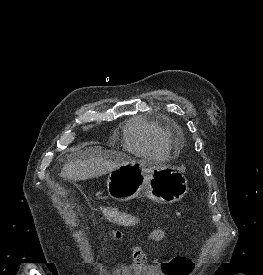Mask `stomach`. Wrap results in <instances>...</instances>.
Instances as JSON below:
<instances>
[{
	"instance_id": "0dacf381",
	"label": "stomach",
	"mask_w": 263,
	"mask_h": 275,
	"mask_svg": "<svg viewBox=\"0 0 263 275\" xmlns=\"http://www.w3.org/2000/svg\"><path fill=\"white\" fill-rule=\"evenodd\" d=\"M107 191L117 201L132 200L143 194L157 203L169 204L183 198L188 184L182 173L169 167L129 159L110 172Z\"/></svg>"
}]
</instances>
